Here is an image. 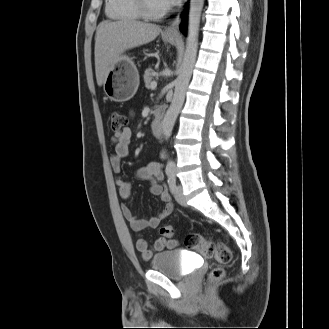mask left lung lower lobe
<instances>
[{"mask_svg":"<svg viewBox=\"0 0 329 329\" xmlns=\"http://www.w3.org/2000/svg\"><path fill=\"white\" fill-rule=\"evenodd\" d=\"M182 17H183V21L180 25V30L182 32H185L186 31V25H187V10H185L182 14Z\"/></svg>","mask_w":329,"mask_h":329,"instance_id":"left-lung-lower-lobe-1","label":"left lung lower lobe"}]
</instances>
